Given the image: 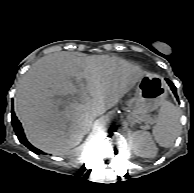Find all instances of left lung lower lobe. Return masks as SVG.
<instances>
[{"instance_id":"0a47b994","label":"left lung lower lobe","mask_w":194,"mask_h":193,"mask_svg":"<svg viewBox=\"0 0 194 193\" xmlns=\"http://www.w3.org/2000/svg\"><path fill=\"white\" fill-rule=\"evenodd\" d=\"M166 80H167L169 86L171 87V89H172L174 95H175L176 98L178 99V97H177V92H176V87L174 86V84H173L170 80H168V79H166Z\"/></svg>"}]
</instances>
